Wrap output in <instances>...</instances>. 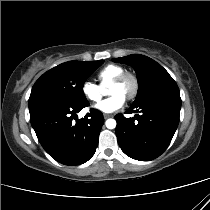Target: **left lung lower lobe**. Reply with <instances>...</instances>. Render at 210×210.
<instances>
[{
    "mask_svg": "<svg viewBox=\"0 0 210 210\" xmlns=\"http://www.w3.org/2000/svg\"><path fill=\"white\" fill-rule=\"evenodd\" d=\"M180 108V94H161L131 105L126 113H140L133 118L117 114L116 135L122 151L139 161L160 156L177 129Z\"/></svg>",
    "mask_w": 210,
    "mask_h": 210,
    "instance_id": "0a47b994",
    "label": "left lung lower lobe"
}]
</instances>
